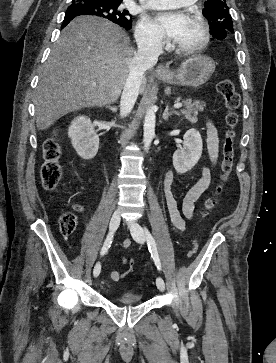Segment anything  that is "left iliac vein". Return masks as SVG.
<instances>
[{"instance_id": "obj_1", "label": "left iliac vein", "mask_w": 276, "mask_h": 363, "mask_svg": "<svg viewBox=\"0 0 276 363\" xmlns=\"http://www.w3.org/2000/svg\"><path fill=\"white\" fill-rule=\"evenodd\" d=\"M129 227L134 240L140 244H143L146 240L143 228L135 221H131L129 223ZM156 285L160 291L165 290V282L162 277H157Z\"/></svg>"}]
</instances>
